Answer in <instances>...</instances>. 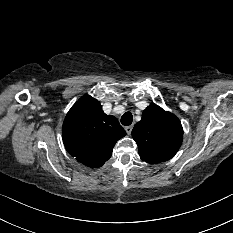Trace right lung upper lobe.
<instances>
[{
	"label": "right lung upper lobe",
	"mask_w": 233,
	"mask_h": 233,
	"mask_svg": "<svg viewBox=\"0 0 233 233\" xmlns=\"http://www.w3.org/2000/svg\"><path fill=\"white\" fill-rule=\"evenodd\" d=\"M126 135L114 116L106 115L100 102L81 97L67 113L62 129L66 150L80 163L101 167L112 154L116 142Z\"/></svg>",
	"instance_id": "1"
}]
</instances>
